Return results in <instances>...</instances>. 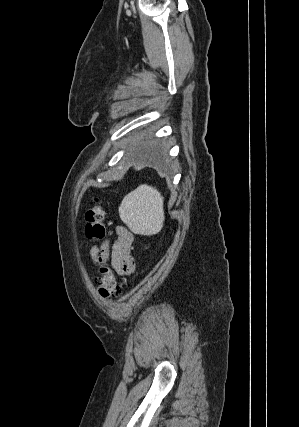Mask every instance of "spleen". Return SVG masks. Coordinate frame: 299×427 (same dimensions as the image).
Returning a JSON list of instances; mask_svg holds the SVG:
<instances>
[{"label": "spleen", "instance_id": "3e777b00", "mask_svg": "<svg viewBox=\"0 0 299 427\" xmlns=\"http://www.w3.org/2000/svg\"><path fill=\"white\" fill-rule=\"evenodd\" d=\"M163 201L156 188L142 184L122 200L120 218L135 234L155 235L161 231L165 220Z\"/></svg>", "mask_w": 299, "mask_h": 427}]
</instances>
